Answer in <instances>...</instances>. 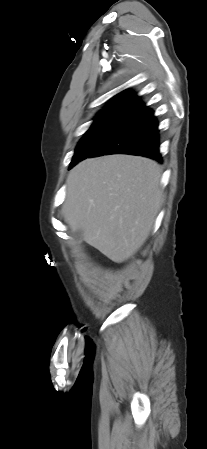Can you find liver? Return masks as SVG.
I'll return each instance as SVG.
<instances>
[{"mask_svg":"<svg viewBox=\"0 0 207 449\" xmlns=\"http://www.w3.org/2000/svg\"><path fill=\"white\" fill-rule=\"evenodd\" d=\"M161 168L131 155L86 159L66 181L65 222L116 263L132 257L148 238L162 204Z\"/></svg>","mask_w":207,"mask_h":449,"instance_id":"obj_1","label":"liver"}]
</instances>
